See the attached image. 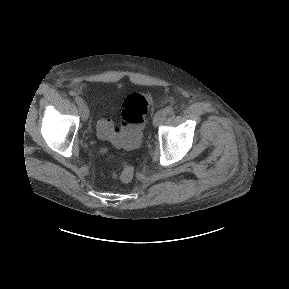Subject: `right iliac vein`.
I'll return each instance as SVG.
<instances>
[{
	"label": "right iliac vein",
	"mask_w": 289,
	"mask_h": 289,
	"mask_svg": "<svg viewBox=\"0 0 289 289\" xmlns=\"http://www.w3.org/2000/svg\"><path fill=\"white\" fill-rule=\"evenodd\" d=\"M79 110H80L82 120L86 121L89 117V109L87 105L85 103L79 105Z\"/></svg>",
	"instance_id": "1"
}]
</instances>
